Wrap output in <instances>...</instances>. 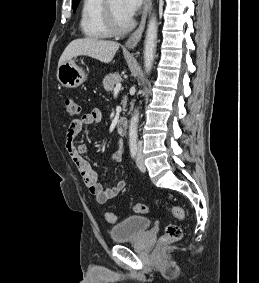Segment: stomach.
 <instances>
[{
  "mask_svg": "<svg viewBox=\"0 0 259 283\" xmlns=\"http://www.w3.org/2000/svg\"><path fill=\"white\" fill-rule=\"evenodd\" d=\"M57 79L64 87L76 88L87 80V74L71 58L58 66Z\"/></svg>",
  "mask_w": 259,
  "mask_h": 283,
  "instance_id": "1",
  "label": "stomach"
}]
</instances>
